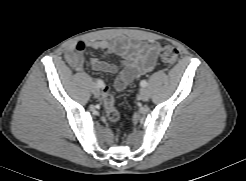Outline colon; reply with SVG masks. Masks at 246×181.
I'll use <instances>...</instances> for the list:
<instances>
[{
  "label": "colon",
  "instance_id": "1",
  "mask_svg": "<svg viewBox=\"0 0 246 181\" xmlns=\"http://www.w3.org/2000/svg\"><path fill=\"white\" fill-rule=\"evenodd\" d=\"M159 54L161 59L169 65L174 64L178 57L177 50L170 44L161 45ZM103 102L108 119L110 121H117L119 119V112L115 106V101L111 95V89L109 87H106L103 91Z\"/></svg>",
  "mask_w": 246,
  "mask_h": 181
}]
</instances>
